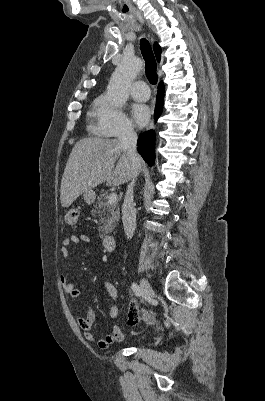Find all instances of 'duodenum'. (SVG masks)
Listing matches in <instances>:
<instances>
[{
    "instance_id": "1",
    "label": "duodenum",
    "mask_w": 265,
    "mask_h": 401,
    "mask_svg": "<svg viewBox=\"0 0 265 401\" xmlns=\"http://www.w3.org/2000/svg\"><path fill=\"white\" fill-rule=\"evenodd\" d=\"M103 246L107 251H113L116 247V238L114 236H106L103 240Z\"/></svg>"
}]
</instances>
